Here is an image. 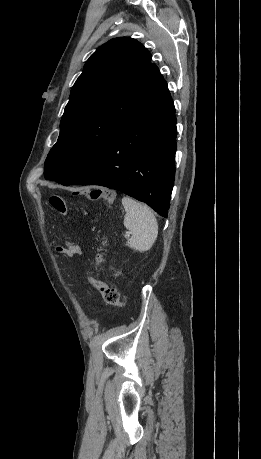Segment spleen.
<instances>
[{
  "label": "spleen",
  "mask_w": 261,
  "mask_h": 459,
  "mask_svg": "<svg viewBox=\"0 0 261 459\" xmlns=\"http://www.w3.org/2000/svg\"><path fill=\"white\" fill-rule=\"evenodd\" d=\"M124 226L131 232L127 245L139 252L149 250L158 236L157 219L150 208L130 197L122 198Z\"/></svg>",
  "instance_id": "1"
}]
</instances>
